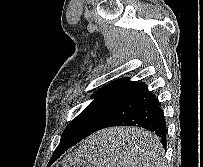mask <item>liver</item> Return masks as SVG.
I'll use <instances>...</instances> for the list:
<instances>
[{"mask_svg": "<svg viewBox=\"0 0 203 167\" xmlns=\"http://www.w3.org/2000/svg\"><path fill=\"white\" fill-rule=\"evenodd\" d=\"M148 132L137 128H113L102 131L101 135L112 140L111 150L116 160L126 162L127 167L143 166L139 162L138 144L141 138Z\"/></svg>", "mask_w": 203, "mask_h": 167, "instance_id": "6515ba94", "label": "liver"}]
</instances>
